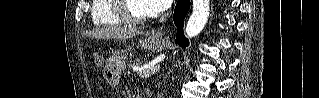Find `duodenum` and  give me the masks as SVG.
Segmentation results:
<instances>
[{
    "label": "duodenum",
    "instance_id": "410a0bca",
    "mask_svg": "<svg viewBox=\"0 0 319 98\" xmlns=\"http://www.w3.org/2000/svg\"><path fill=\"white\" fill-rule=\"evenodd\" d=\"M138 98H143V96L139 94V95H138Z\"/></svg>",
    "mask_w": 319,
    "mask_h": 98
}]
</instances>
